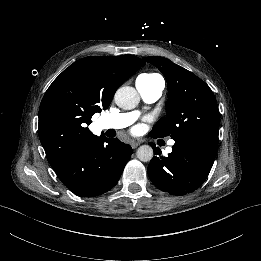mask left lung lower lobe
<instances>
[{
    "mask_svg": "<svg viewBox=\"0 0 261 261\" xmlns=\"http://www.w3.org/2000/svg\"><path fill=\"white\" fill-rule=\"evenodd\" d=\"M150 144L159 157L151 160L147 169L149 177L158 189L176 196L186 195L204 183L218 150V141L203 135L175 140L167 157L160 156L159 148Z\"/></svg>",
    "mask_w": 261,
    "mask_h": 261,
    "instance_id": "0a47b994",
    "label": "left lung lower lobe"
}]
</instances>
